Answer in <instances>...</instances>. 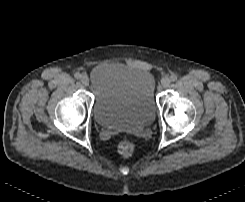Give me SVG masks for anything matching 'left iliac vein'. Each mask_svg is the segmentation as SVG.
Returning a JSON list of instances; mask_svg holds the SVG:
<instances>
[{"instance_id": "1", "label": "left iliac vein", "mask_w": 245, "mask_h": 202, "mask_svg": "<svg viewBox=\"0 0 245 202\" xmlns=\"http://www.w3.org/2000/svg\"><path fill=\"white\" fill-rule=\"evenodd\" d=\"M170 82L171 81H170V79L168 77L163 78L162 79V82H161L162 87L163 88H167L170 85Z\"/></svg>"}]
</instances>
